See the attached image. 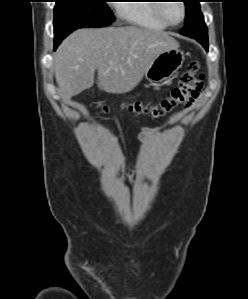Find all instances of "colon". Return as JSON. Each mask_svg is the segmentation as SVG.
Wrapping results in <instances>:
<instances>
[{
	"label": "colon",
	"instance_id": "5ec220e1",
	"mask_svg": "<svg viewBox=\"0 0 248 299\" xmlns=\"http://www.w3.org/2000/svg\"><path fill=\"white\" fill-rule=\"evenodd\" d=\"M204 86V75L196 62L181 76L179 84L159 103L145 106L140 102L125 104L123 107L131 112L145 113L154 118L165 116L177 108H188L197 99ZM106 108V106H103Z\"/></svg>",
	"mask_w": 248,
	"mask_h": 299
}]
</instances>
